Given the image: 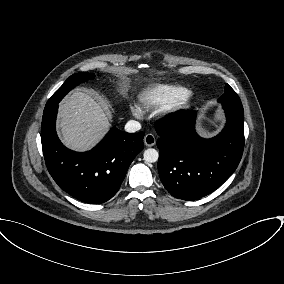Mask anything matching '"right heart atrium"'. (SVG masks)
Masks as SVG:
<instances>
[{
	"instance_id": "1",
	"label": "right heart atrium",
	"mask_w": 284,
	"mask_h": 284,
	"mask_svg": "<svg viewBox=\"0 0 284 284\" xmlns=\"http://www.w3.org/2000/svg\"><path fill=\"white\" fill-rule=\"evenodd\" d=\"M131 112L136 117H139L141 115V109L136 105L131 106Z\"/></svg>"
}]
</instances>
